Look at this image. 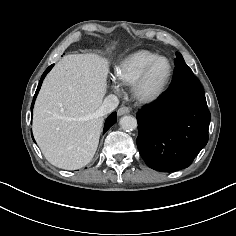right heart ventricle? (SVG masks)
<instances>
[{
	"label": "right heart ventricle",
	"mask_w": 236,
	"mask_h": 236,
	"mask_svg": "<svg viewBox=\"0 0 236 236\" xmlns=\"http://www.w3.org/2000/svg\"><path fill=\"white\" fill-rule=\"evenodd\" d=\"M159 55L153 51L137 50L122 59L115 68L116 78L125 85H132L144 68Z\"/></svg>",
	"instance_id": "1"
}]
</instances>
